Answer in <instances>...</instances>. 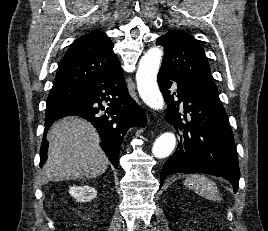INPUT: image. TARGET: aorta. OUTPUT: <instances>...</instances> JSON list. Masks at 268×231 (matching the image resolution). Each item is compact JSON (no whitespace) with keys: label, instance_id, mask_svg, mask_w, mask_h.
<instances>
[{"label":"aorta","instance_id":"1","mask_svg":"<svg viewBox=\"0 0 268 231\" xmlns=\"http://www.w3.org/2000/svg\"><path fill=\"white\" fill-rule=\"evenodd\" d=\"M163 51L153 47L140 59L136 73L137 89L142 100L150 108L161 110L164 100L157 84V74ZM176 138L172 132L161 134L154 142L152 153L156 158H166L174 150Z\"/></svg>","mask_w":268,"mask_h":231}]
</instances>
